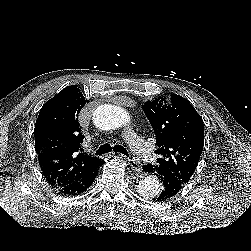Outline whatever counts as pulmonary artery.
I'll list each match as a JSON object with an SVG mask.
<instances>
[{
	"label": "pulmonary artery",
	"instance_id": "obj_1",
	"mask_svg": "<svg viewBox=\"0 0 251 251\" xmlns=\"http://www.w3.org/2000/svg\"><path fill=\"white\" fill-rule=\"evenodd\" d=\"M124 137L136 155L141 158H149L151 156V148L148 142H144L130 132L124 133Z\"/></svg>",
	"mask_w": 251,
	"mask_h": 251
}]
</instances>
